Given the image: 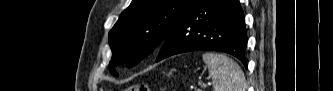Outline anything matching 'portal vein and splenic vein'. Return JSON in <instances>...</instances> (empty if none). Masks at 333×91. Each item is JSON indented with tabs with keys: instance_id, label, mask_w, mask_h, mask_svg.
<instances>
[{
	"instance_id": "18ae733b",
	"label": "portal vein and splenic vein",
	"mask_w": 333,
	"mask_h": 91,
	"mask_svg": "<svg viewBox=\"0 0 333 91\" xmlns=\"http://www.w3.org/2000/svg\"><path fill=\"white\" fill-rule=\"evenodd\" d=\"M207 84H202L201 86H206Z\"/></svg>"
}]
</instances>
